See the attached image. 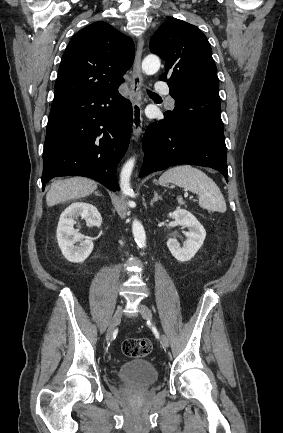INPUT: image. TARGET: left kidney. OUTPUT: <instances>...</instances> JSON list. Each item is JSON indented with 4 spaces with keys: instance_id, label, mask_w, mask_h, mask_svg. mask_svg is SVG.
I'll list each match as a JSON object with an SVG mask.
<instances>
[{
    "instance_id": "5707ae66",
    "label": "left kidney",
    "mask_w": 283,
    "mask_h": 433,
    "mask_svg": "<svg viewBox=\"0 0 283 433\" xmlns=\"http://www.w3.org/2000/svg\"><path fill=\"white\" fill-rule=\"evenodd\" d=\"M169 217L175 219L183 228H188V231L183 232L187 237L183 247H180L176 239H169L167 247L178 261H189L203 245L206 231L195 216L187 210L178 208L174 212L169 213Z\"/></svg>"
}]
</instances>
